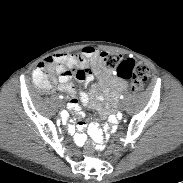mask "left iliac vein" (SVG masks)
Returning <instances> with one entry per match:
<instances>
[{"instance_id": "1", "label": "left iliac vein", "mask_w": 183, "mask_h": 183, "mask_svg": "<svg viewBox=\"0 0 183 183\" xmlns=\"http://www.w3.org/2000/svg\"><path fill=\"white\" fill-rule=\"evenodd\" d=\"M123 108V106L122 105H120V109H122Z\"/></svg>"}]
</instances>
